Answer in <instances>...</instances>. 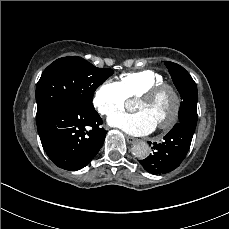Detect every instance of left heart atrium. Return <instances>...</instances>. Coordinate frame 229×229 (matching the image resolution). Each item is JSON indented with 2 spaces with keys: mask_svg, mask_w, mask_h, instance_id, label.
Wrapping results in <instances>:
<instances>
[{
  "mask_svg": "<svg viewBox=\"0 0 229 229\" xmlns=\"http://www.w3.org/2000/svg\"><path fill=\"white\" fill-rule=\"evenodd\" d=\"M108 124L132 135L148 134L156 126L155 122L144 111L118 113L108 119Z\"/></svg>",
  "mask_w": 229,
  "mask_h": 229,
  "instance_id": "left-heart-atrium-1",
  "label": "left heart atrium"
}]
</instances>
